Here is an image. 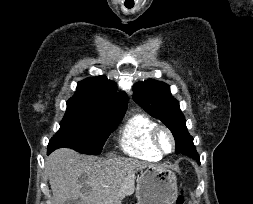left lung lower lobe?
Instances as JSON below:
<instances>
[{
    "label": "left lung lower lobe",
    "instance_id": "0a47b994",
    "mask_svg": "<svg viewBox=\"0 0 253 204\" xmlns=\"http://www.w3.org/2000/svg\"><path fill=\"white\" fill-rule=\"evenodd\" d=\"M187 156L194 158L198 163H200V157L197 154L196 150L190 152Z\"/></svg>",
    "mask_w": 253,
    "mask_h": 204
}]
</instances>
